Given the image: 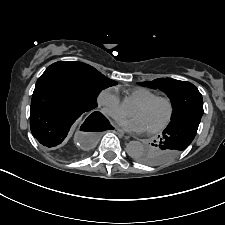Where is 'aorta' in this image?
Instances as JSON below:
<instances>
[{
	"label": "aorta",
	"mask_w": 225,
	"mask_h": 225,
	"mask_svg": "<svg viewBox=\"0 0 225 225\" xmlns=\"http://www.w3.org/2000/svg\"><path fill=\"white\" fill-rule=\"evenodd\" d=\"M143 151L144 145L140 141H130L126 146V152L132 158H136Z\"/></svg>",
	"instance_id": "762f6f07"
}]
</instances>
